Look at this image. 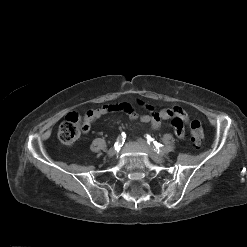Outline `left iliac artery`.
<instances>
[{"instance_id":"obj_1","label":"left iliac artery","mask_w":247,"mask_h":247,"mask_svg":"<svg viewBox=\"0 0 247 247\" xmlns=\"http://www.w3.org/2000/svg\"><path fill=\"white\" fill-rule=\"evenodd\" d=\"M146 138H147L148 144L153 143V145H154V150H155L157 153H161V152L165 151L164 146H163L162 144L157 143L156 141H154V139L151 138V136L147 135Z\"/></svg>"}]
</instances>
